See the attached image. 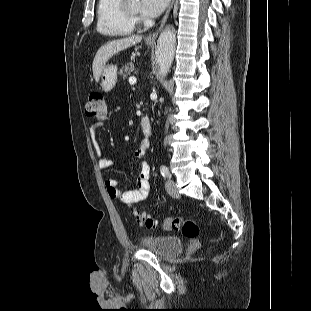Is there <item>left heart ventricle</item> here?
I'll return each mask as SVG.
<instances>
[{"mask_svg":"<svg viewBox=\"0 0 311 311\" xmlns=\"http://www.w3.org/2000/svg\"><path fill=\"white\" fill-rule=\"evenodd\" d=\"M128 5L133 12L139 13L140 6H141L140 0H129Z\"/></svg>","mask_w":311,"mask_h":311,"instance_id":"left-heart-ventricle-1","label":"left heart ventricle"}]
</instances>
